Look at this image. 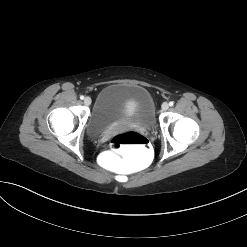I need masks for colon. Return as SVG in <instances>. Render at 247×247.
I'll return each instance as SVG.
<instances>
[{
    "mask_svg": "<svg viewBox=\"0 0 247 247\" xmlns=\"http://www.w3.org/2000/svg\"><path fill=\"white\" fill-rule=\"evenodd\" d=\"M155 151L148 139L136 131H125L114 135L110 146L99 153V164L113 173L132 174L149 166Z\"/></svg>",
    "mask_w": 247,
    "mask_h": 247,
    "instance_id": "obj_1",
    "label": "colon"
}]
</instances>
